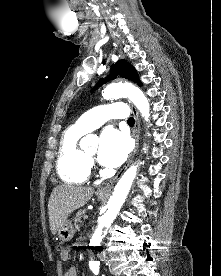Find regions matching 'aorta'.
I'll return each instance as SVG.
<instances>
[{"label":"aorta","instance_id":"762f6f07","mask_svg":"<svg viewBox=\"0 0 221 276\" xmlns=\"http://www.w3.org/2000/svg\"><path fill=\"white\" fill-rule=\"evenodd\" d=\"M102 96L107 99H118L120 97L129 98L137 109L142 114V117L148 121L150 117V105L148 99L143 92L130 84L116 83L108 85L104 90ZM88 139V136L85 140ZM137 175V165H132L119 179L114 188V192L107 205L106 213L100 218L99 224L91 238V246H99L102 241V232L105 228L109 227L116 218L119 210L121 209L125 199L130 191L132 183ZM92 264H98V261H91Z\"/></svg>","mask_w":221,"mask_h":276}]
</instances>
